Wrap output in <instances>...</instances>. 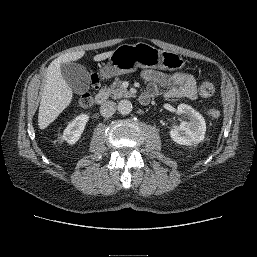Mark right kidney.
Listing matches in <instances>:
<instances>
[{"label":"right kidney","instance_id":"ca27d5eb","mask_svg":"<svg viewBox=\"0 0 257 257\" xmlns=\"http://www.w3.org/2000/svg\"><path fill=\"white\" fill-rule=\"evenodd\" d=\"M88 120L89 116L87 114L77 116L67 125L63 135L61 136V140L66 141L70 145L75 144L81 137Z\"/></svg>","mask_w":257,"mask_h":257}]
</instances>
